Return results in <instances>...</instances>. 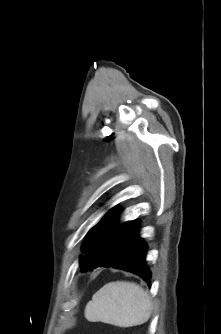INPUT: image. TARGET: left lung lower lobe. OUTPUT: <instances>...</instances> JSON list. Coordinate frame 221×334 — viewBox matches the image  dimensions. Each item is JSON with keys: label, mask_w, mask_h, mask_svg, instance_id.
I'll list each match as a JSON object with an SVG mask.
<instances>
[{"label": "left lung lower lobe", "mask_w": 221, "mask_h": 334, "mask_svg": "<svg viewBox=\"0 0 221 334\" xmlns=\"http://www.w3.org/2000/svg\"><path fill=\"white\" fill-rule=\"evenodd\" d=\"M138 224L115 220L99 240L93 256L94 261L82 271L96 267H113L134 273L150 286L151 272L146 266L147 245L139 238Z\"/></svg>", "instance_id": "0a47b994"}]
</instances>
